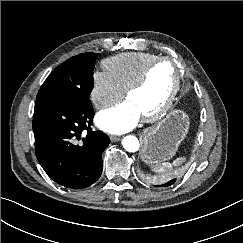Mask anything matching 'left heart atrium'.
<instances>
[{"instance_id": "obj_1", "label": "left heart atrium", "mask_w": 243, "mask_h": 243, "mask_svg": "<svg viewBox=\"0 0 243 243\" xmlns=\"http://www.w3.org/2000/svg\"><path fill=\"white\" fill-rule=\"evenodd\" d=\"M142 115L141 111L126 99L101 110L96 116V122L103 130L120 134L133 129Z\"/></svg>"}]
</instances>
